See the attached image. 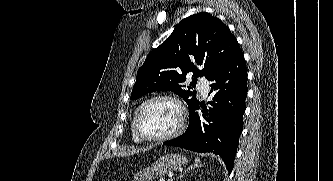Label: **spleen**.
<instances>
[{"label":"spleen","mask_w":333,"mask_h":181,"mask_svg":"<svg viewBox=\"0 0 333 181\" xmlns=\"http://www.w3.org/2000/svg\"><path fill=\"white\" fill-rule=\"evenodd\" d=\"M195 160H196V162H200V159H199V158H196Z\"/></svg>","instance_id":"1"}]
</instances>
